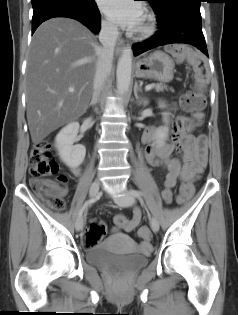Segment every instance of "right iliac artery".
I'll use <instances>...</instances> for the list:
<instances>
[{
	"instance_id": "1",
	"label": "right iliac artery",
	"mask_w": 238,
	"mask_h": 315,
	"mask_svg": "<svg viewBox=\"0 0 238 315\" xmlns=\"http://www.w3.org/2000/svg\"><path fill=\"white\" fill-rule=\"evenodd\" d=\"M96 200H97V198H91V199L85 201V203L83 204V206L81 207V209L78 213V216L81 217L83 215V213L87 210L88 206H90Z\"/></svg>"
}]
</instances>
